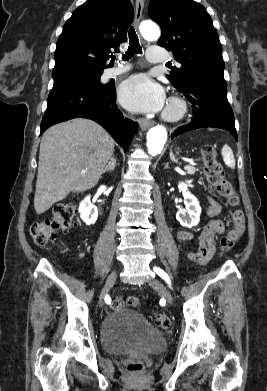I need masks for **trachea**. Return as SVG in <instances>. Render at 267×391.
I'll return each instance as SVG.
<instances>
[{"label": "trachea", "instance_id": "obj_1", "mask_svg": "<svg viewBox=\"0 0 267 391\" xmlns=\"http://www.w3.org/2000/svg\"><path fill=\"white\" fill-rule=\"evenodd\" d=\"M129 46H128V50L126 51L125 54H123V57L122 59L124 61H128L129 59H131L135 54H141L142 53V48L139 44V39H138V36L134 30L133 27H130L129 29ZM113 61L116 60V57H112L111 58Z\"/></svg>", "mask_w": 267, "mask_h": 391}]
</instances>
